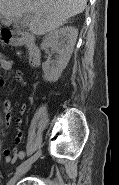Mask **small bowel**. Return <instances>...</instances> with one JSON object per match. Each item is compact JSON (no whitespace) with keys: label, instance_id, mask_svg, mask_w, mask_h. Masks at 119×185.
Returning a JSON list of instances; mask_svg holds the SVG:
<instances>
[{"label":"small bowel","instance_id":"small-bowel-1","mask_svg":"<svg viewBox=\"0 0 119 185\" xmlns=\"http://www.w3.org/2000/svg\"><path fill=\"white\" fill-rule=\"evenodd\" d=\"M14 61L13 60H7V59H1L0 60V68L4 71L10 72L13 68ZM14 79L16 82L20 84L21 87L25 86L26 82L23 79V74L21 71H17ZM5 84L4 79H0V85L3 86ZM26 109V106L23 104L21 106L20 112L21 114L24 113ZM12 103L10 101H6L3 106V112H4V120L7 126H9L12 121H13V112H12ZM16 125L19 128L22 123L23 119L22 117H17L15 119ZM22 140V133L20 130H18L16 137H15V142L16 144H20ZM4 154V159L6 163L14 164L18 159L23 160L25 158V153L22 150H19L17 146L13 148H7L3 152Z\"/></svg>","mask_w":119,"mask_h":185}]
</instances>
